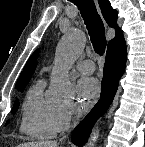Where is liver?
<instances>
[{"mask_svg": "<svg viewBox=\"0 0 145 147\" xmlns=\"http://www.w3.org/2000/svg\"><path fill=\"white\" fill-rule=\"evenodd\" d=\"M17 147H59L56 141H45V142H27L19 144Z\"/></svg>", "mask_w": 145, "mask_h": 147, "instance_id": "liver-1", "label": "liver"}]
</instances>
